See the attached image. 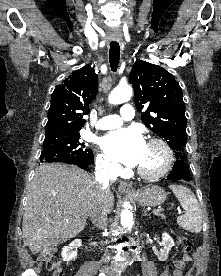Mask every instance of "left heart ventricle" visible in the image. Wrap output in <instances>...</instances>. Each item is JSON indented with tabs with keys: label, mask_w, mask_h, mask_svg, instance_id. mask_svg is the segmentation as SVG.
Here are the masks:
<instances>
[{
	"label": "left heart ventricle",
	"mask_w": 221,
	"mask_h": 276,
	"mask_svg": "<svg viewBox=\"0 0 221 276\" xmlns=\"http://www.w3.org/2000/svg\"><path fill=\"white\" fill-rule=\"evenodd\" d=\"M163 154L157 146L146 145L144 157L139 167L145 170H156L162 164Z\"/></svg>",
	"instance_id": "b2bd125f"
}]
</instances>
